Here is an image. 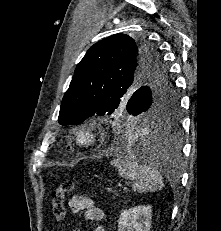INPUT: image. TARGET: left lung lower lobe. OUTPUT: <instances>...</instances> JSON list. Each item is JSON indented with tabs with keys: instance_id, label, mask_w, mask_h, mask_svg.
I'll return each mask as SVG.
<instances>
[{
	"instance_id": "obj_1",
	"label": "left lung lower lobe",
	"mask_w": 221,
	"mask_h": 231,
	"mask_svg": "<svg viewBox=\"0 0 221 231\" xmlns=\"http://www.w3.org/2000/svg\"><path fill=\"white\" fill-rule=\"evenodd\" d=\"M164 125L169 129L167 135L162 136L156 132L154 133L157 129H163ZM164 125L150 121L145 123V125H139L135 129L121 133L119 137L116 136V141L121 146L131 144L138 151L144 152L145 162L167 169L168 163L173 161L180 151L177 136L179 120H173ZM158 132L161 133L160 130Z\"/></svg>"
}]
</instances>
